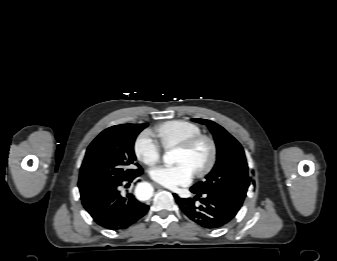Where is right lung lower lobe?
Segmentation results:
<instances>
[{"instance_id":"right-lung-lower-lobe-1","label":"right lung lower lobe","mask_w":337,"mask_h":261,"mask_svg":"<svg viewBox=\"0 0 337 261\" xmlns=\"http://www.w3.org/2000/svg\"><path fill=\"white\" fill-rule=\"evenodd\" d=\"M141 174L82 199L84 208L98 225L110 230L126 229L147 213L148 205L139 202L132 194L122 197L119 191L121 185L132 182Z\"/></svg>"}]
</instances>
